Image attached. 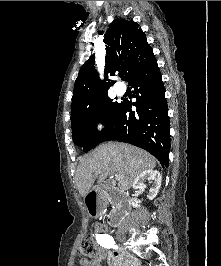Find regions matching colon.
I'll return each instance as SVG.
<instances>
[{
    "label": "colon",
    "mask_w": 221,
    "mask_h": 266,
    "mask_svg": "<svg viewBox=\"0 0 221 266\" xmlns=\"http://www.w3.org/2000/svg\"><path fill=\"white\" fill-rule=\"evenodd\" d=\"M96 255L97 250L92 235H84L79 245V257L82 261H92L96 258Z\"/></svg>",
    "instance_id": "obj_1"
}]
</instances>
